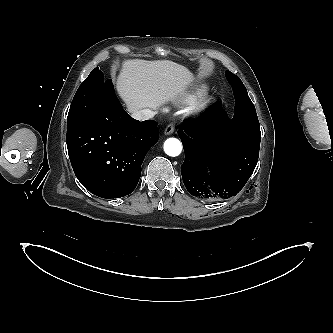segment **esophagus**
Masks as SVG:
<instances>
[{"instance_id":"obj_1","label":"esophagus","mask_w":333,"mask_h":333,"mask_svg":"<svg viewBox=\"0 0 333 333\" xmlns=\"http://www.w3.org/2000/svg\"><path fill=\"white\" fill-rule=\"evenodd\" d=\"M174 129H175V126H174V124L171 123L165 128L164 134L165 135H170L174 132Z\"/></svg>"}]
</instances>
